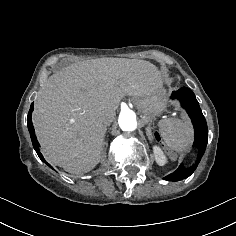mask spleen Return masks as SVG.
Returning <instances> with one entry per match:
<instances>
[{"label": "spleen", "mask_w": 236, "mask_h": 236, "mask_svg": "<svg viewBox=\"0 0 236 236\" xmlns=\"http://www.w3.org/2000/svg\"><path fill=\"white\" fill-rule=\"evenodd\" d=\"M160 130L166 144L176 151L187 150L193 142V128L189 123L167 119L160 122Z\"/></svg>", "instance_id": "spleen-1"}]
</instances>
